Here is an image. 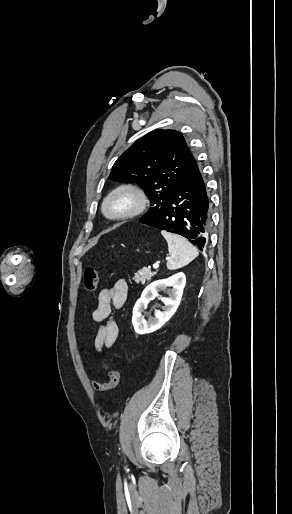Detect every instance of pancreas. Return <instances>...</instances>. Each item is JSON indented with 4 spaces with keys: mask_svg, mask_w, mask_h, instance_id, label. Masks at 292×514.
Returning a JSON list of instances; mask_svg holds the SVG:
<instances>
[{
    "mask_svg": "<svg viewBox=\"0 0 292 514\" xmlns=\"http://www.w3.org/2000/svg\"><path fill=\"white\" fill-rule=\"evenodd\" d=\"M156 272H151V270H148V268H142V270H138L136 274H134L133 280L139 284H145L146 280L149 282L151 280L152 276H155Z\"/></svg>",
    "mask_w": 292,
    "mask_h": 514,
    "instance_id": "cf45deb5",
    "label": "pancreas"
}]
</instances>
